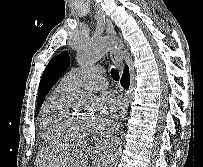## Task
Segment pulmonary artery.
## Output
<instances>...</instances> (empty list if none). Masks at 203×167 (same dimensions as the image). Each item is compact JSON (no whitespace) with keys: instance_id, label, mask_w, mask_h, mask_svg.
<instances>
[{"instance_id":"obj_1","label":"pulmonary artery","mask_w":203,"mask_h":167,"mask_svg":"<svg viewBox=\"0 0 203 167\" xmlns=\"http://www.w3.org/2000/svg\"><path fill=\"white\" fill-rule=\"evenodd\" d=\"M102 72L99 66L73 69L63 76L61 83L74 89L83 87L88 90H98L107 86Z\"/></svg>"}]
</instances>
